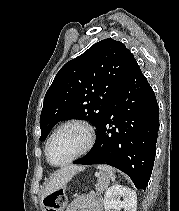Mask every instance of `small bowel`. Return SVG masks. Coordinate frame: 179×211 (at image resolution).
Listing matches in <instances>:
<instances>
[{
    "label": "small bowel",
    "mask_w": 179,
    "mask_h": 211,
    "mask_svg": "<svg viewBox=\"0 0 179 211\" xmlns=\"http://www.w3.org/2000/svg\"><path fill=\"white\" fill-rule=\"evenodd\" d=\"M65 211H102L101 200L93 193L78 195Z\"/></svg>",
    "instance_id": "1"
}]
</instances>
